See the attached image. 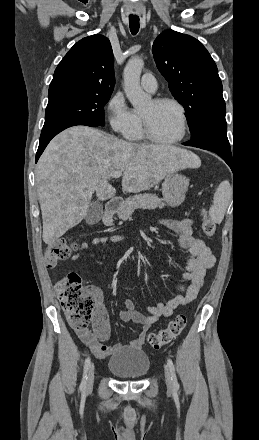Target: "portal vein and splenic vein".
I'll list each match as a JSON object with an SVG mask.
<instances>
[{"label": "portal vein and splenic vein", "mask_w": 259, "mask_h": 440, "mask_svg": "<svg viewBox=\"0 0 259 440\" xmlns=\"http://www.w3.org/2000/svg\"><path fill=\"white\" fill-rule=\"evenodd\" d=\"M121 175H122V171H116L112 174V177L117 179V178L121 177Z\"/></svg>", "instance_id": "portal-vein-and-splenic-vein-1"}]
</instances>
